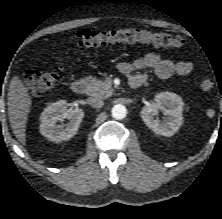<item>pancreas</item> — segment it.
<instances>
[{
  "instance_id": "obj_1",
  "label": "pancreas",
  "mask_w": 222,
  "mask_h": 219,
  "mask_svg": "<svg viewBox=\"0 0 222 219\" xmlns=\"http://www.w3.org/2000/svg\"><path fill=\"white\" fill-rule=\"evenodd\" d=\"M87 83V94L97 98L106 99L112 95V90L103 81L94 77L85 78Z\"/></svg>"
}]
</instances>
